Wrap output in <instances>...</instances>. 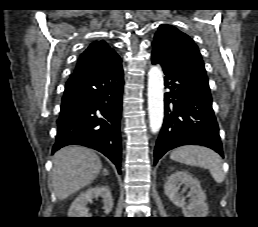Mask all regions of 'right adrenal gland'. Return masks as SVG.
<instances>
[{
    "label": "right adrenal gland",
    "mask_w": 258,
    "mask_h": 227,
    "mask_svg": "<svg viewBox=\"0 0 258 227\" xmlns=\"http://www.w3.org/2000/svg\"><path fill=\"white\" fill-rule=\"evenodd\" d=\"M104 174H105V175L109 174L106 169H104Z\"/></svg>",
    "instance_id": "1"
}]
</instances>
